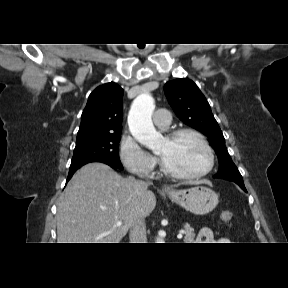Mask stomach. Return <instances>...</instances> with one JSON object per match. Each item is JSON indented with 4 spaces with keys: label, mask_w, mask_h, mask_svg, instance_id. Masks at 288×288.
<instances>
[{
    "label": "stomach",
    "mask_w": 288,
    "mask_h": 288,
    "mask_svg": "<svg viewBox=\"0 0 288 288\" xmlns=\"http://www.w3.org/2000/svg\"><path fill=\"white\" fill-rule=\"evenodd\" d=\"M196 184L194 187L168 193L172 202L196 215L211 212L218 204V194L212 189Z\"/></svg>",
    "instance_id": "0dacf381"
}]
</instances>
